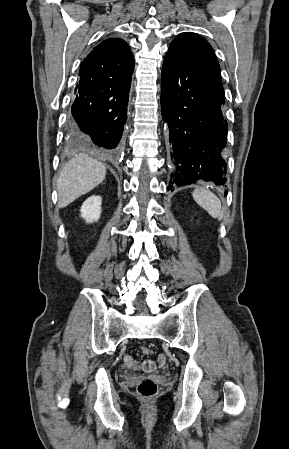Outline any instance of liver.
Returning a JSON list of instances; mask_svg holds the SVG:
<instances>
[{
  "label": "liver",
  "instance_id": "6515ba94",
  "mask_svg": "<svg viewBox=\"0 0 289 449\" xmlns=\"http://www.w3.org/2000/svg\"><path fill=\"white\" fill-rule=\"evenodd\" d=\"M106 176V167L85 154L67 162L57 181L58 207L64 208L99 185Z\"/></svg>",
  "mask_w": 289,
  "mask_h": 449
}]
</instances>
